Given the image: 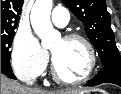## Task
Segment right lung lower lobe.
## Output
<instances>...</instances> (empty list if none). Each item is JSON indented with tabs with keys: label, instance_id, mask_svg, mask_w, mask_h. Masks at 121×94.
<instances>
[{
	"label": "right lung lower lobe",
	"instance_id": "98d812e1",
	"mask_svg": "<svg viewBox=\"0 0 121 94\" xmlns=\"http://www.w3.org/2000/svg\"><path fill=\"white\" fill-rule=\"evenodd\" d=\"M1 73L12 78V79H15V76L12 73V68L10 65L1 64Z\"/></svg>",
	"mask_w": 121,
	"mask_h": 94
}]
</instances>
